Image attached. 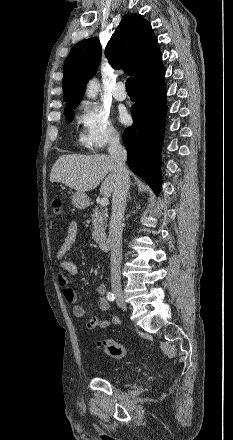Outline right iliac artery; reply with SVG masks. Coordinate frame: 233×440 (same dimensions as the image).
<instances>
[{"mask_svg": "<svg viewBox=\"0 0 233 440\" xmlns=\"http://www.w3.org/2000/svg\"><path fill=\"white\" fill-rule=\"evenodd\" d=\"M107 299L109 300V301H114V299H115V296H114V294L112 293V292H108L107 293Z\"/></svg>", "mask_w": 233, "mask_h": 440, "instance_id": "right-iliac-artery-1", "label": "right iliac artery"}]
</instances>
